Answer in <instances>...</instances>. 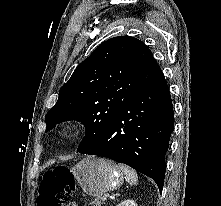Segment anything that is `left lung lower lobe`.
Listing matches in <instances>:
<instances>
[{
    "instance_id": "0a47b994",
    "label": "left lung lower lobe",
    "mask_w": 221,
    "mask_h": 206,
    "mask_svg": "<svg viewBox=\"0 0 221 206\" xmlns=\"http://www.w3.org/2000/svg\"><path fill=\"white\" fill-rule=\"evenodd\" d=\"M173 128L172 100L162 75L125 106L99 139L78 152L127 164L151 177L162 191Z\"/></svg>"
}]
</instances>
